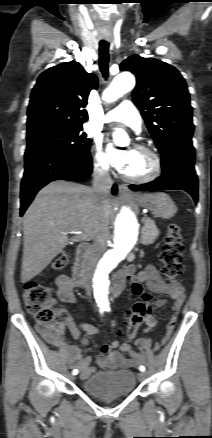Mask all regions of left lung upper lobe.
I'll return each instance as SVG.
<instances>
[{"label":"left lung upper lobe","mask_w":212,"mask_h":438,"mask_svg":"<svg viewBox=\"0 0 212 438\" xmlns=\"http://www.w3.org/2000/svg\"><path fill=\"white\" fill-rule=\"evenodd\" d=\"M136 75L133 102L160 153L175 142L192 139V107L187 85L173 66L154 58L133 55L120 65Z\"/></svg>","instance_id":"left-lung-upper-lobe-1"}]
</instances>
